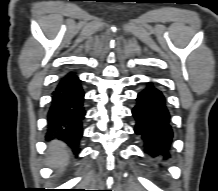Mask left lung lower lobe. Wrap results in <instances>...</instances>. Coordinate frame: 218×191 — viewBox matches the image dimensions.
I'll return each mask as SVG.
<instances>
[{
    "mask_svg": "<svg viewBox=\"0 0 218 191\" xmlns=\"http://www.w3.org/2000/svg\"><path fill=\"white\" fill-rule=\"evenodd\" d=\"M132 114L136 119L134 131L144 140L145 152L152 156L163 155L166 159L173 132L162 92L149 83L138 94Z\"/></svg>",
    "mask_w": 218,
    "mask_h": 191,
    "instance_id": "obj_1",
    "label": "left lung lower lobe"
}]
</instances>
